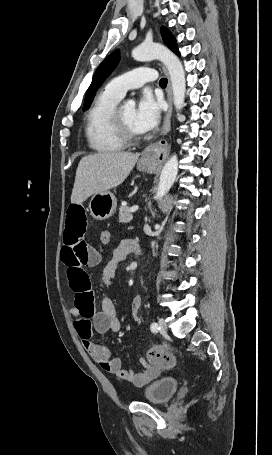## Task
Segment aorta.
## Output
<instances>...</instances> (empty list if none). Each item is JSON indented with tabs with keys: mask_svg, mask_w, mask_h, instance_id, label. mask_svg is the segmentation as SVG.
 Listing matches in <instances>:
<instances>
[{
	"mask_svg": "<svg viewBox=\"0 0 272 455\" xmlns=\"http://www.w3.org/2000/svg\"><path fill=\"white\" fill-rule=\"evenodd\" d=\"M132 57L137 61L158 59L167 68L173 91V102L176 111L184 106L186 93L185 71L179 58L166 47L157 43H143L132 51ZM125 109H134L135 101L129 100L124 105ZM178 173V158L172 155L165 163L157 189L156 199H161L170 190Z\"/></svg>",
	"mask_w": 272,
	"mask_h": 455,
	"instance_id": "obj_1",
	"label": "aorta"
}]
</instances>
